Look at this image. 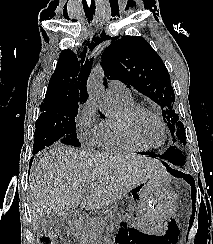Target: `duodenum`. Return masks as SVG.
Returning <instances> with one entry per match:
<instances>
[{
    "instance_id": "obj_1",
    "label": "duodenum",
    "mask_w": 213,
    "mask_h": 244,
    "mask_svg": "<svg viewBox=\"0 0 213 244\" xmlns=\"http://www.w3.org/2000/svg\"><path fill=\"white\" fill-rule=\"evenodd\" d=\"M71 221H72V222H77L78 219H77V217H76L75 215H72V216H71Z\"/></svg>"
}]
</instances>
